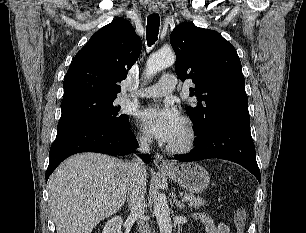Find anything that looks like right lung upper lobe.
<instances>
[{
    "instance_id": "obj_1",
    "label": "right lung upper lobe",
    "mask_w": 306,
    "mask_h": 233,
    "mask_svg": "<svg viewBox=\"0 0 306 233\" xmlns=\"http://www.w3.org/2000/svg\"><path fill=\"white\" fill-rule=\"evenodd\" d=\"M142 41L129 21L117 19L92 35L65 76L63 101L116 98L119 82L138 59Z\"/></svg>"
}]
</instances>
